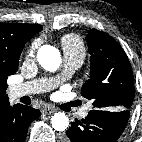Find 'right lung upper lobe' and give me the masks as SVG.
Masks as SVG:
<instances>
[{
  "label": "right lung upper lobe",
  "instance_id": "right-lung-upper-lobe-1",
  "mask_svg": "<svg viewBox=\"0 0 142 142\" xmlns=\"http://www.w3.org/2000/svg\"><path fill=\"white\" fill-rule=\"evenodd\" d=\"M42 29L33 24L0 23V65L13 68L18 64L25 43ZM6 89L0 83V107L9 103Z\"/></svg>",
  "mask_w": 142,
  "mask_h": 142
}]
</instances>
